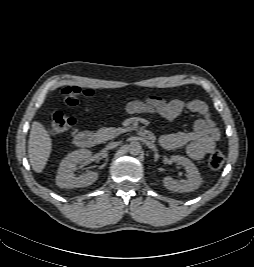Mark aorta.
<instances>
[{
  "instance_id": "1",
  "label": "aorta",
  "mask_w": 254,
  "mask_h": 267,
  "mask_svg": "<svg viewBox=\"0 0 254 267\" xmlns=\"http://www.w3.org/2000/svg\"><path fill=\"white\" fill-rule=\"evenodd\" d=\"M129 153L133 156H137L142 151V146L139 142L133 141L128 145Z\"/></svg>"
}]
</instances>
